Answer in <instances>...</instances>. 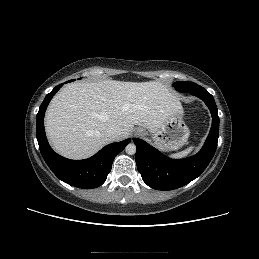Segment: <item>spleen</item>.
I'll return each instance as SVG.
<instances>
[{
  "label": "spleen",
  "instance_id": "3e777b00",
  "mask_svg": "<svg viewBox=\"0 0 259 259\" xmlns=\"http://www.w3.org/2000/svg\"><path fill=\"white\" fill-rule=\"evenodd\" d=\"M194 146H190L187 149L179 152V153H175V154H171L170 157L172 158H183L188 156L193 150H194Z\"/></svg>",
  "mask_w": 259,
  "mask_h": 259
}]
</instances>
